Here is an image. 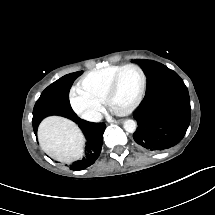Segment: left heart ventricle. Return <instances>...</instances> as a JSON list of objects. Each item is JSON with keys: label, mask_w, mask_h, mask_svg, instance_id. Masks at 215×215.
I'll return each instance as SVG.
<instances>
[{"label": "left heart ventricle", "mask_w": 215, "mask_h": 215, "mask_svg": "<svg viewBox=\"0 0 215 215\" xmlns=\"http://www.w3.org/2000/svg\"><path fill=\"white\" fill-rule=\"evenodd\" d=\"M120 76V85L114 95L116 104L123 106L129 103L135 93L138 83V76L134 70L126 69L118 73Z\"/></svg>", "instance_id": "1"}]
</instances>
